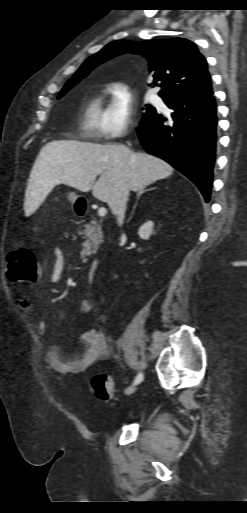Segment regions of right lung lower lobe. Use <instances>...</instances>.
<instances>
[{
  "label": "right lung lower lobe",
  "mask_w": 247,
  "mask_h": 513,
  "mask_svg": "<svg viewBox=\"0 0 247 513\" xmlns=\"http://www.w3.org/2000/svg\"><path fill=\"white\" fill-rule=\"evenodd\" d=\"M164 102L173 110L171 117L146 116L137 128L139 140L148 153L187 176L209 202L217 145L214 95Z\"/></svg>",
  "instance_id": "obj_1"
}]
</instances>
